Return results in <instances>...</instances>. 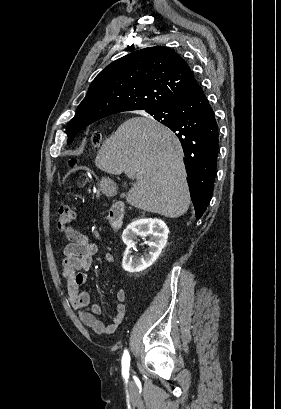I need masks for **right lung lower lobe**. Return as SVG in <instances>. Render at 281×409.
<instances>
[{
    "label": "right lung lower lobe",
    "instance_id": "98d812e1",
    "mask_svg": "<svg viewBox=\"0 0 281 409\" xmlns=\"http://www.w3.org/2000/svg\"><path fill=\"white\" fill-rule=\"evenodd\" d=\"M179 138L185 154V168L196 218L205 212L213 193L219 130L214 112L201 87L161 109L148 112Z\"/></svg>",
    "mask_w": 281,
    "mask_h": 409
}]
</instances>
